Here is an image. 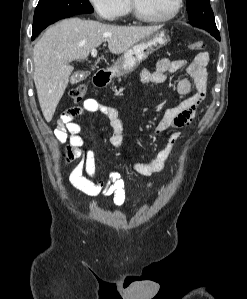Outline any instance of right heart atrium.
<instances>
[{"label": "right heart atrium", "instance_id": "1", "mask_svg": "<svg viewBox=\"0 0 247 299\" xmlns=\"http://www.w3.org/2000/svg\"><path fill=\"white\" fill-rule=\"evenodd\" d=\"M97 17L103 21L118 20L124 12L125 0H88Z\"/></svg>", "mask_w": 247, "mask_h": 299}]
</instances>
